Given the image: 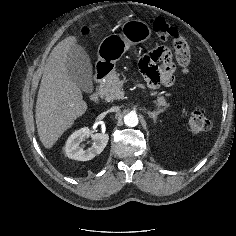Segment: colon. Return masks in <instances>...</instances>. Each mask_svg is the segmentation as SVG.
Here are the masks:
<instances>
[{
	"label": "colon",
	"mask_w": 236,
	"mask_h": 236,
	"mask_svg": "<svg viewBox=\"0 0 236 236\" xmlns=\"http://www.w3.org/2000/svg\"><path fill=\"white\" fill-rule=\"evenodd\" d=\"M150 26L161 40L171 41L172 47L177 54L189 50L185 38L164 19L153 18L150 21ZM188 124L193 133L207 131L211 127L210 120L201 110H196L191 114Z\"/></svg>",
	"instance_id": "5ec220e1"
}]
</instances>
